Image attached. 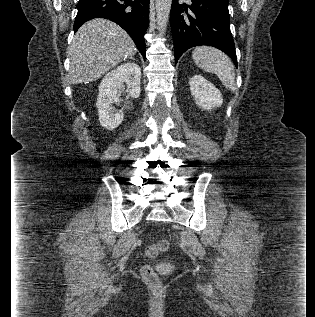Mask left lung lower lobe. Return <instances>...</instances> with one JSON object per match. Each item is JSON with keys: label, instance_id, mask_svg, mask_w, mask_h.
Returning a JSON list of instances; mask_svg holds the SVG:
<instances>
[{"label": "left lung lower lobe", "instance_id": "obj_1", "mask_svg": "<svg viewBox=\"0 0 315 317\" xmlns=\"http://www.w3.org/2000/svg\"><path fill=\"white\" fill-rule=\"evenodd\" d=\"M179 4L172 0L171 30L175 48V62L189 48L209 45L231 57L237 67L235 45L230 32L228 0H191ZM189 8V9H188Z\"/></svg>", "mask_w": 315, "mask_h": 317}]
</instances>
